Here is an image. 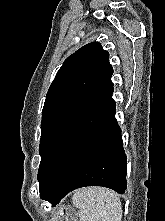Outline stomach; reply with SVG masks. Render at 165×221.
<instances>
[{"label":"stomach","instance_id":"1","mask_svg":"<svg viewBox=\"0 0 165 221\" xmlns=\"http://www.w3.org/2000/svg\"><path fill=\"white\" fill-rule=\"evenodd\" d=\"M57 217H65L62 218L61 221H75V217L71 212L68 211V208H65L64 212H57Z\"/></svg>","mask_w":165,"mask_h":221}]
</instances>
